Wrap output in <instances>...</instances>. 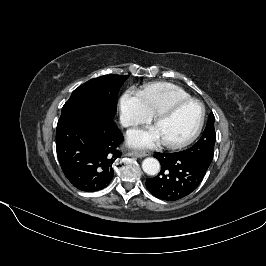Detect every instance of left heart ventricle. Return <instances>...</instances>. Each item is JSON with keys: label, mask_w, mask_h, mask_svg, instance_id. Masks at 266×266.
<instances>
[{"label": "left heart ventricle", "mask_w": 266, "mask_h": 266, "mask_svg": "<svg viewBox=\"0 0 266 266\" xmlns=\"http://www.w3.org/2000/svg\"><path fill=\"white\" fill-rule=\"evenodd\" d=\"M201 117V108L196 103L182 106L174 114L161 119L155 128L163 142H177L189 137Z\"/></svg>", "instance_id": "b2bd125f"}]
</instances>
